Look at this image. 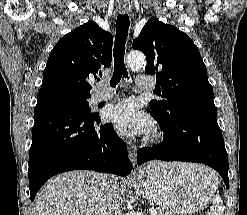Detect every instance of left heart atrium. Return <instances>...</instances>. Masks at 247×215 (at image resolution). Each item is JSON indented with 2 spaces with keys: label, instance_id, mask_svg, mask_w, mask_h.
<instances>
[{
  "label": "left heart atrium",
  "instance_id": "39dd6f15",
  "mask_svg": "<svg viewBox=\"0 0 247 215\" xmlns=\"http://www.w3.org/2000/svg\"><path fill=\"white\" fill-rule=\"evenodd\" d=\"M107 119L124 136L147 134L153 129L152 120L141 112L131 99L118 102L106 110Z\"/></svg>",
  "mask_w": 247,
  "mask_h": 215
}]
</instances>
